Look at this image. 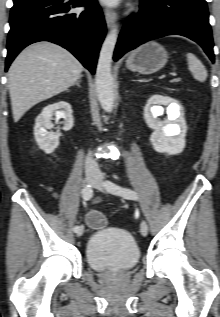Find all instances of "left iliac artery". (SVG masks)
<instances>
[{
	"mask_svg": "<svg viewBox=\"0 0 220 317\" xmlns=\"http://www.w3.org/2000/svg\"><path fill=\"white\" fill-rule=\"evenodd\" d=\"M105 186L107 190L113 194L120 195L126 199L138 200V195L135 191L123 188L111 181H106Z\"/></svg>",
	"mask_w": 220,
	"mask_h": 317,
	"instance_id": "1",
	"label": "left iliac artery"
}]
</instances>
